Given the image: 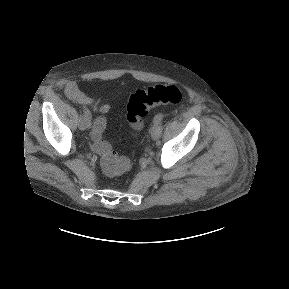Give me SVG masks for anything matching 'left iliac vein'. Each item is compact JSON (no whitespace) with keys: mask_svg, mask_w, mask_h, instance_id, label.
<instances>
[{"mask_svg":"<svg viewBox=\"0 0 289 289\" xmlns=\"http://www.w3.org/2000/svg\"><path fill=\"white\" fill-rule=\"evenodd\" d=\"M161 132H162V127L160 124L154 123L150 128L151 137L154 140H157L160 138Z\"/></svg>","mask_w":289,"mask_h":289,"instance_id":"obj_1","label":"left iliac vein"}]
</instances>
